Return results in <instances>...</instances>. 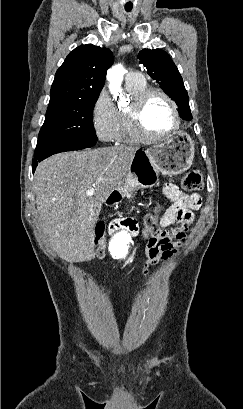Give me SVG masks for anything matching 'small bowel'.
<instances>
[{
  "label": "small bowel",
  "mask_w": 243,
  "mask_h": 409,
  "mask_svg": "<svg viewBox=\"0 0 243 409\" xmlns=\"http://www.w3.org/2000/svg\"><path fill=\"white\" fill-rule=\"evenodd\" d=\"M164 194L173 203L160 219V225L166 230L162 236L152 237L145 246L146 262L143 268L145 284L149 285V267L160 261H168L186 238V233L194 220L193 211L201 204L197 194H184L179 188L167 183Z\"/></svg>",
  "instance_id": "c3829d8e"
}]
</instances>
